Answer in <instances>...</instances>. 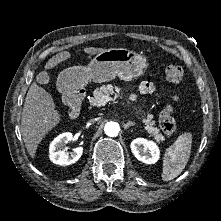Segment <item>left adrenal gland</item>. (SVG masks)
<instances>
[{"mask_svg":"<svg viewBox=\"0 0 221 221\" xmlns=\"http://www.w3.org/2000/svg\"><path fill=\"white\" fill-rule=\"evenodd\" d=\"M135 126V123L132 121H128L124 124V129L127 130L129 127Z\"/></svg>","mask_w":221,"mask_h":221,"instance_id":"1","label":"left adrenal gland"}]
</instances>
